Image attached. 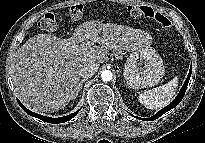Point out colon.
I'll use <instances>...</instances> for the list:
<instances>
[{"label": "colon", "instance_id": "colon-1", "mask_svg": "<svg viewBox=\"0 0 205 143\" xmlns=\"http://www.w3.org/2000/svg\"><path fill=\"white\" fill-rule=\"evenodd\" d=\"M127 11L133 18H150L155 20L163 27L171 25L170 20L159 12L147 6L129 5ZM84 8L82 5H73L68 10V15L72 20H79L83 16ZM39 26L45 31H53L56 29L57 21L53 13H46L39 21Z\"/></svg>", "mask_w": 205, "mask_h": 143}]
</instances>
